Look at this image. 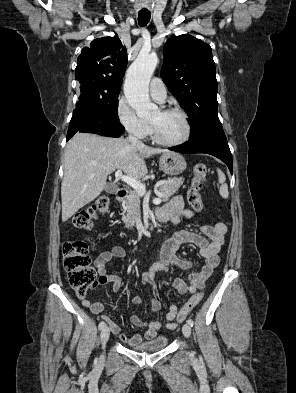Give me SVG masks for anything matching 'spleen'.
I'll list each match as a JSON object with an SVG mask.
<instances>
[{"mask_svg": "<svg viewBox=\"0 0 296 393\" xmlns=\"http://www.w3.org/2000/svg\"><path fill=\"white\" fill-rule=\"evenodd\" d=\"M217 173H218V181L221 184L219 188V193L223 198L226 199L229 196V192H228V185L225 183L226 181L225 174L220 169H217Z\"/></svg>", "mask_w": 296, "mask_h": 393, "instance_id": "1", "label": "spleen"}]
</instances>
